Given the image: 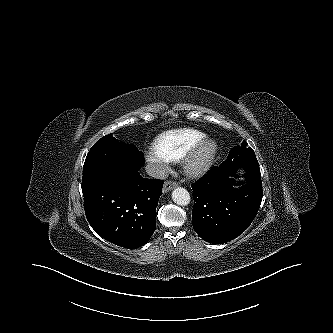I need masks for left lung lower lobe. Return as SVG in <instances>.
<instances>
[{
  "label": "left lung lower lobe",
  "mask_w": 333,
  "mask_h": 333,
  "mask_svg": "<svg viewBox=\"0 0 333 333\" xmlns=\"http://www.w3.org/2000/svg\"><path fill=\"white\" fill-rule=\"evenodd\" d=\"M247 153H241L235 161H248ZM236 162L226 159L219 167H213L202 179L192 185L194 208L193 228L205 241L223 244L241 235L257 215L262 201L261 176L246 172L245 185L238 189L234 177ZM241 185V184H240Z\"/></svg>",
  "instance_id": "obj_1"
}]
</instances>
